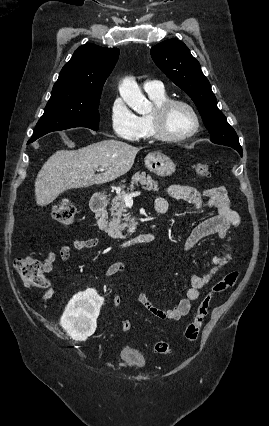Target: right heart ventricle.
Listing matches in <instances>:
<instances>
[{"mask_svg":"<svg viewBox=\"0 0 269 426\" xmlns=\"http://www.w3.org/2000/svg\"><path fill=\"white\" fill-rule=\"evenodd\" d=\"M149 98L153 102L154 106H157L164 101L168 100V96L165 93L162 94H148ZM139 124H140V137L141 138H151L152 137V131L149 124V115H142L138 117Z\"/></svg>","mask_w":269,"mask_h":426,"instance_id":"right-heart-ventricle-1","label":"right heart ventricle"}]
</instances>
